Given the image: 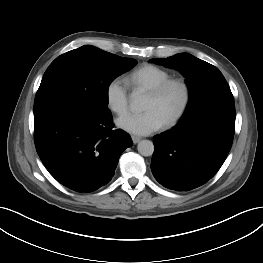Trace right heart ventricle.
Wrapping results in <instances>:
<instances>
[{
    "mask_svg": "<svg viewBox=\"0 0 263 263\" xmlns=\"http://www.w3.org/2000/svg\"><path fill=\"white\" fill-rule=\"evenodd\" d=\"M170 78V73L152 64L143 65L126 76V81L133 88L150 90Z\"/></svg>",
    "mask_w": 263,
    "mask_h": 263,
    "instance_id": "e07e8e85",
    "label": "right heart ventricle"
}]
</instances>
